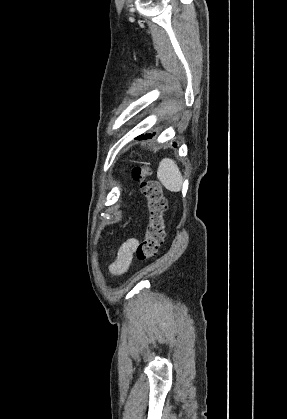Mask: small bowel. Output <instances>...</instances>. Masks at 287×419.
Instances as JSON below:
<instances>
[{
    "instance_id": "small-bowel-1",
    "label": "small bowel",
    "mask_w": 287,
    "mask_h": 419,
    "mask_svg": "<svg viewBox=\"0 0 287 419\" xmlns=\"http://www.w3.org/2000/svg\"><path fill=\"white\" fill-rule=\"evenodd\" d=\"M139 241L135 238L127 239L116 251L115 260L110 265V272L113 275H121L130 267L133 254Z\"/></svg>"
}]
</instances>
